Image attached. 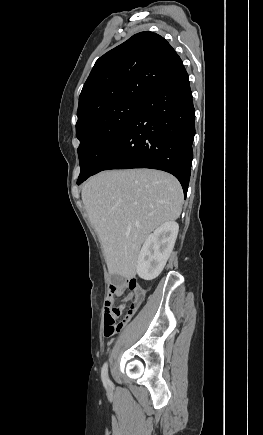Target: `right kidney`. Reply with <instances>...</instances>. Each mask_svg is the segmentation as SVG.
I'll list each match as a JSON object with an SVG mask.
<instances>
[{
    "instance_id": "obj_1",
    "label": "right kidney",
    "mask_w": 263,
    "mask_h": 435,
    "mask_svg": "<svg viewBox=\"0 0 263 435\" xmlns=\"http://www.w3.org/2000/svg\"><path fill=\"white\" fill-rule=\"evenodd\" d=\"M179 225L168 221L160 225L145 240L137 261V274L144 280H153L162 272L173 250Z\"/></svg>"
}]
</instances>
